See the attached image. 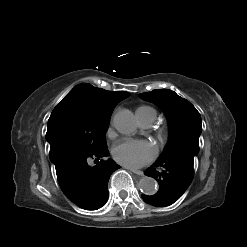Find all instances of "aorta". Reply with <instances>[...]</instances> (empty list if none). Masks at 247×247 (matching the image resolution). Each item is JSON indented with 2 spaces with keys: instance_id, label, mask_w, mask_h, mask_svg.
Masks as SVG:
<instances>
[{
  "instance_id": "aorta-1",
  "label": "aorta",
  "mask_w": 247,
  "mask_h": 247,
  "mask_svg": "<svg viewBox=\"0 0 247 247\" xmlns=\"http://www.w3.org/2000/svg\"><path fill=\"white\" fill-rule=\"evenodd\" d=\"M113 123L117 131L125 135H131L137 128L136 118L128 109H123L115 114ZM140 190L147 195H154L158 190L155 179L151 177H143L139 181Z\"/></svg>"
}]
</instances>
